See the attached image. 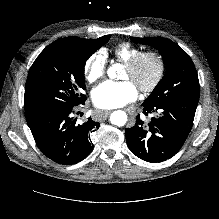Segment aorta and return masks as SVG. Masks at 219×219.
Instances as JSON below:
<instances>
[{"mask_svg":"<svg viewBox=\"0 0 219 219\" xmlns=\"http://www.w3.org/2000/svg\"><path fill=\"white\" fill-rule=\"evenodd\" d=\"M119 68V64H114L107 69L108 77L111 79H115L117 77V70ZM110 121L113 125L116 126H124L127 122V114L122 110H117L112 112L110 116Z\"/></svg>","mask_w":219,"mask_h":219,"instance_id":"1","label":"aorta"}]
</instances>
